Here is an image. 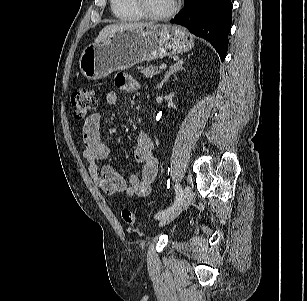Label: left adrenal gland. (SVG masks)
<instances>
[{
    "label": "left adrenal gland",
    "mask_w": 307,
    "mask_h": 301,
    "mask_svg": "<svg viewBox=\"0 0 307 301\" xmlns=\"http://www.w3.org/2000/svg\"><path fill=\"white\" fill-rule=\"evenodd\" d=\"M184 64L183 60H178L176 63H174L172 66H170V69L165 73V76L158 87H162L165 82L168 81L169 77L176 73L177 71H180L183 69L182 65Z\"/></svg>",
    "instance_id": "left-adrenal-gland-1"
}]
</instances>
